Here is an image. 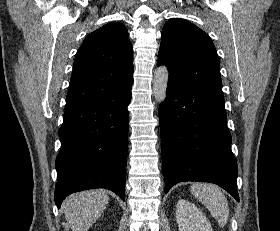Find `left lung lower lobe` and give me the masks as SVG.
I'll return each mask as SVG.
<instances>
[{
  "mask_svg": "<svg viewBox=\"0 0 280 231\" xmlns=\"http://www.w3.org/2000/svg\"><path fill=\"white\" fill-rule=\"evenodd\" d=\"M223 92L168 81L159 106L165 193L179 183H215L238 202V168L231 151Z\"/></svg>",
  "mask_w": 280,
  "mask_h": 231,
  "instance_id": "0a47b994",
  "label": "left lung lower lobe"
}]
</instances>
